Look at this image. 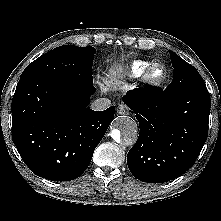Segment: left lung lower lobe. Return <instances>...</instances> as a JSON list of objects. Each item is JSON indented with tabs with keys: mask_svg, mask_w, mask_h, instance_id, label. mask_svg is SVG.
<instances>
[{
	"mask_svg": "<svg viewBox=\"0 0 221 221\" xmlns=\"http://www.w3.org/2000/svg\"><path fill=\"white\" fill-rule=\"evenodd\" d=\"M123 101L136 113L140 133L127 154L133 176L148 183L167 182L196 161L208 133L207 88L170 93L166 89H133Z\"/></svg>",
	"mask_w": 221,
	"mask_h": 221,
	"instance_id": "0a47b994",
	"label": "left lung lower lobe"
}]
</instances>
